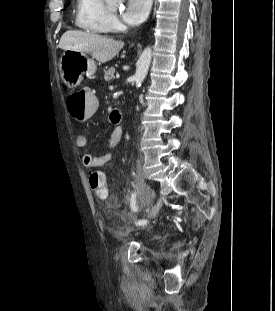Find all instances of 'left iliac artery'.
<instances>
[{
    "instance_id": "1",
    "label": "left iliac artery",
    "mask_w": 275,
    "mask_h": 311,
    "mask_svg": "<svg viewBox=\"0 0 275 311\" xmlns=\"http://www.w3.org/2000/svg\"><path fill=\"white\" fill-rule=\"evenodd\" d=\"M130 206H131L132 211H134V212L138 211V208L136 206V192L132 193V195H131ZM135 223H136V225H142L145 223V220H139Z\"/></svg>"
}]
</instances>
